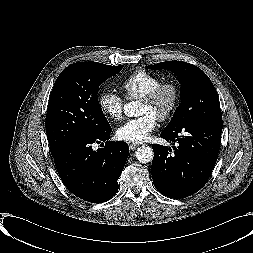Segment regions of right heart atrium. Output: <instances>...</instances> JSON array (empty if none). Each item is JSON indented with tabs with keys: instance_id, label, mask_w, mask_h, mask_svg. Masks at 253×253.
I'll use <instances>...</instances> for the list:
<instances>
[{
	"instance_id": "right-heart-atrium-1",
	"label": "right heart atrium",
	"mask_w": 253,
	"mask_h": 253,
	"mask_svg": "<svg viewBox=\"0 0 253 253\" xmlns=\"http://www.w3.org/2000/svg\"><path fill=\"white\" fill-rule=\"evenodd\" d=\"M98 104L102 113L109 119L117 121L123 116L124 100L112 90L103 91L98 98Z\"/></svg>"
}]
</instances>
